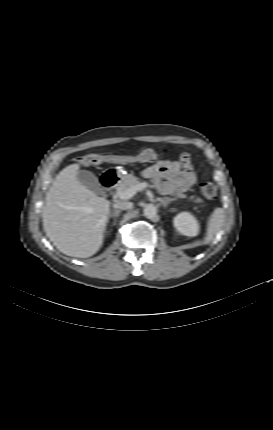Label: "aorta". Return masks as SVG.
I'll return each instance as SVG.
<instances>
[{
    "label": "aorta",
    "instance_id": "762f6f07",
    "mask_svg": "<svg viewBox=\"0 0 273 430\" xmlns=\"http://www.w3.org/2000/svg\"><path fill=\"white\" fill-rule=\"evenodd\" d=\"M157 215V207L154 204H147L144 207V216L153 219Z\"/></svg>",
    "mask_w": 273,
    "mask_h": 430
}]
</instances>
